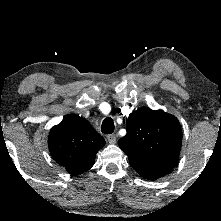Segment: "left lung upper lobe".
I'll return each instance as SVG.
<instances>
[{
    "label": "left lung upper lobe",
    "instance_id": "left-lung-upper-lobe-1",
    "mask_svg": "<svg viewBox=\"0 0 221 221\" xmlns=\"http://www.w3.org/2000/svg\"><path fill=\"white\" fill-rule=\"evenodd\" d=\"M118 141L129 163L142 177L155 180L168 174L179 158L182 131L177 118L162 110L140 108L126 122Z\"/></svg>",
    "mask_w": 221,
    "mask_h": 221
}]
</instances>
